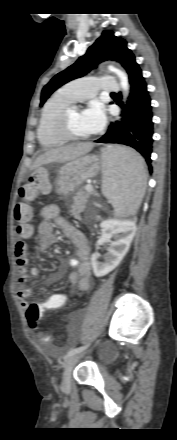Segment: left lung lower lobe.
Wrapping results in <instances>:
<instances>
[{"instance_id": "obj_1", "label": "left lung lower lobe", "mask_w": 177, "mask_h": 440, "mask_svg": "<svg viewBox=\"0 0 177 440\" xmlns=\"http://www.w3.org/2000/svg\"><path fill=\"white\" fill-rule=\"evenodd\" d=\"M129 82L131 90L127 107L123 112V120L116 124L112 123L106 134L95 142L118 143L134 148L144 157L151 173L153 115L147 84L139 67L133 72ZM118 104L122 105V103Z\"/></svg>"}]
</instances>
